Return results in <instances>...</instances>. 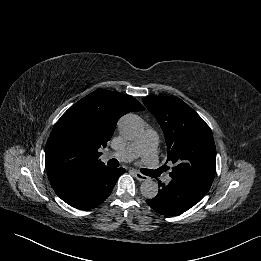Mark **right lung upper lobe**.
Masks as SVG:
<instances>
[{
  "label": "right lung upper lobe",
  "instance_id": "obj_1",
  "mask_svg": "<svg viewBox=\"0 0 261 261\" xmlns=\"http://www.w3.org/2000/svg\"><path fill=\"white\" fill-rule=\"evenodd\" d=\"M145 108L134 98L98 89L72 105L56 122L45 149L53 189L106 167L99 148L106 147L117 121Z\"/></svg>",
  "mask_w": 261,
  "mask_h": 261
}]
</instances>
